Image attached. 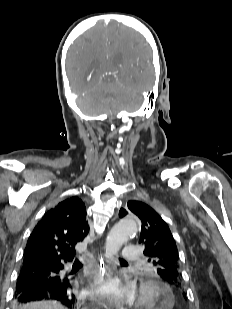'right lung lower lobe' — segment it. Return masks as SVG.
Listing matches in <instances>:
<instances>
[{
	"label": "right lung lower lobe",
	"mask_w": 232,
	"mask_h": 309,
	"mask_svg": "<svg viewBox=\"0 0 232 309\" xmlns=\"http://www.w3.org/2000/svg\"><path fill=\"white\" fill-rule=\"evenodd\" d=\"M37 267L36 264L30 262L23 263L20 273L29 274L33 278L27 280L23 277H18L14 293L15 302L23 304L42 299H53L72 308L75 304L72 280L67 276L59 275L64 266L53 271L50 269L41 271ZM48 275H53L52 280H48Z\"/></svg>",
	"instance_id": "right-lung-lower-lobe-1"
}]
</instances>
